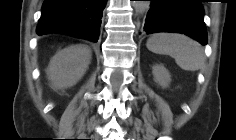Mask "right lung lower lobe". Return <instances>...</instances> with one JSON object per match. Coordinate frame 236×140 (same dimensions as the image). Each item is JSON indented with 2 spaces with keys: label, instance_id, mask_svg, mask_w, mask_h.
Segmentation results:
<instances>
[{
  "label": "right lung lower lobe",
  "instance_id": "right-lung-lower-lobe-1",
  "mask_svg": "<svg viewBox=\"0 0 236 140\" xmlns=\"http://www.w3.org/2000/svg\"><path fill=\"white\" fill-rule=\"evenodd\" d=\"M107 0H45L37 34L65 33L97 42Z\"/></svg>",
  "mask_w": 236,
  "mask_h": 140
}]
</instances>
